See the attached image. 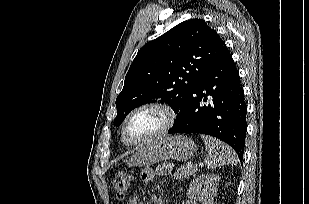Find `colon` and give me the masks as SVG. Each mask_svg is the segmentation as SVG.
I'll list each match as a JSON object with an SVG mask.
<instances>
[{
	"label": "colon",
	"instance_id": "5ec220e1",
	"mask_svg": "<svg viewBox=\"0 0 309 204\" xmlns=\"http://www.w3.org/2000/svg\"><path fill=\"white\" fill-rule=\"evenodd\" d=\"M131 183V177L126 172H120L113 179V187L115 194L122 198L127 193Z\"/></svg>",
	"mask_w": 309,
	"mask_h": 204
}]
</instances>
